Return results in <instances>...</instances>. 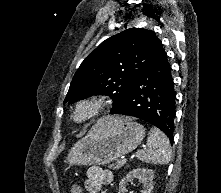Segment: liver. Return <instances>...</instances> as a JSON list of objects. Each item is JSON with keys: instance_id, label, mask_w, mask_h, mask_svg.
Instances as JSON below:
<instances>
[{"instance_id": "obj_1", "label": "liver", "mask_w": 221, "mask_h": 193, "mask_svg": "<svg viewBox=\"0 0 221 193\" xmlns=\"http://www.w3.org/2000/svg\"><path fill=\"white\" fill-rule=\"evenodd\" d=\"M123 119L124 118H122V117H106V118L102 119V122L107 125H112V124L122 121Z\"/></svg>"}]
</instances>
